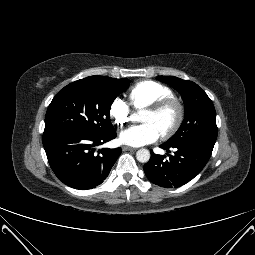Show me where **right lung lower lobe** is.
I'll list each match as a JSON object with an SVG mask.
<instances>
[{
    "instance_id": "obj_1",
    "label": "right lung lower lobe",
    "mask_w": 255,
    "mask_h": 255,
    "mask_svg": "<svg viewBox=\"0 0 255 255\" xmlns=\"http://www.w3.org/2000/svg\"><path fill=\"white\" fill-rule=\"evenodd\" d=\"M116 137L111 131L95 136L78 130H57L43 133V145L49 164L58 179L75 189L86 190L100 185L121 154V148L95 147Z\"/></svg>"
}]
</instances>
